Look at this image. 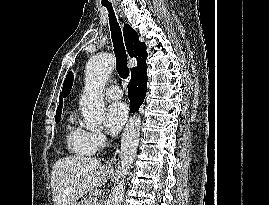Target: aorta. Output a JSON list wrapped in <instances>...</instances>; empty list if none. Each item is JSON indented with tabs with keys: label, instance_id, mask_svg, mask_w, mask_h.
<instances>
[{
	"label": "aorta",
	"instance_id": "obj_1",
	"mask_svg": "<svg viewBox=\"0 0 269 205\" xmlns=\"http://www.w3.org/2000/svg\"><path fill=\"white\" fill-rule=\"evenodd\" d=\"M114 58L111 54L93 55L88 60L85 72V91L80 99V108L85 126L93 129L101 126L106 118L103 101V90L109 75L114 69ZM140 117H132L124 129L120 148L119 179L114 185L108 205H122L129 174L140 139Z\"/></svg>",
	"mask_w": 269,
	"mask_h": 205
}]
</instances>
